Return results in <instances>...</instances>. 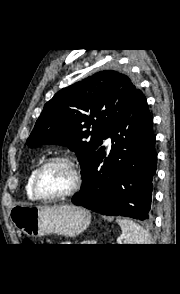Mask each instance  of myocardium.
<instances>
[{"mask_svg": "<svg viewBox=\"0 0 180 294\" xmlns=\"http://www.w3.org/2000/svg\"><path fill=\"white\" fill-rule=\"evenodd\" d=\"M64 164L72 172L73 175V184L69 190L64 193L57 194L54 196L43 195L38 187L39 178L42 172L53 164ZM83 185V176L81 174L78 164L69 156H55L46 160L40 167H38L33 175L32 179V190L35 197L41 201H58L74 196L78 193Z\"/></svg>", "mask_w": 180, "mask_h": 294, "instance_id": "f54148a6", "label": "myocardium"}]
</instances>
